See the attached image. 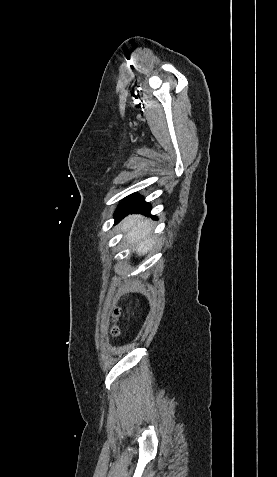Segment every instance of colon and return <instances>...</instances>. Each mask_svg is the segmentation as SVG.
Wrapping results in <instances>:
<instances>
[{"mask_svg":"<svg viewBox=\"0 0 277 477\" xmlns=\"http://www.w3.org/2000/svg\"><path fill=\"white\" fill-rule=\"evenodd\" d=\"M117 316H118V312H115V313H114V317L116 318ZM111 333H112V335H114V336L118 335L119 329H118V327H117L116 325H114V326L112 327Z\"/></svg>","mask_w":277,"mask_h":477,"instance_id":"obj_1","label":"colon"}]
</instances>
